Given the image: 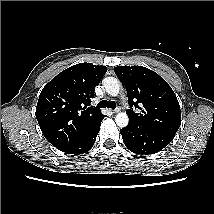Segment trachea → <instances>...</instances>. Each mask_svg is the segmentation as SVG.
<instances>
[{
  "label": "trachea",
  "mask_w": 214,
  "mask_h": 214,
  "mask_svg": "<svg viewBox=\"0 0 214 214\" xmlns=\"http://www.w3.org/2000/svg\"><path fill=\"white\" fill-rule=\"evenodd\" d=\"M99 108H111L115 109L116 108V103L114 101H107V100H102L98 103L97 105Z\"/></svg>",
  "instance_id": "obj_1"
}]
</instances>
